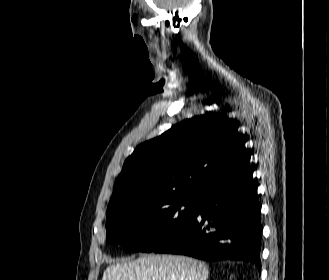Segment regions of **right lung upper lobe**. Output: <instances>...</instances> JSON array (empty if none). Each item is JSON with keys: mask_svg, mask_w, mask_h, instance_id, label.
<instances>
[{"mask_svg": "<svg viewBox=\"0 0 329 280\" xmlns=\"http://www.w3.org/2000/svg\"><path fill=\"white\" fill-rule=\"evenodd\" d=\"M246 139L219 113L186 119L137 146L115 181L107 208L147 196L200 197L250 160Z\"/></svg>", "mask_w": 329, "mask_h": 280, "instance_id": "obj_1", "label": "right lung upper lobe"}]
</instances>
